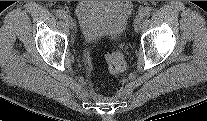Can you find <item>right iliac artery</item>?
<instances>
[{
  "mask_svg": "<svg viewBox=\"0 0 207 121\" xmlns=\"http://www.w3.org/2000/svg\"><path fill=\"white\" fill-rule=\"evenodd\" d=\"M56 15L58 18H64L66 16V12L62 9L56 10Z\"/></svg>",
  "mask_w": 207,
  "mask_h": 121,
  "instance_id": "right-iliac-artery-1",
  "label": "right iliac artery"
}]
</instances>
